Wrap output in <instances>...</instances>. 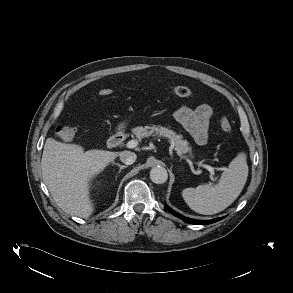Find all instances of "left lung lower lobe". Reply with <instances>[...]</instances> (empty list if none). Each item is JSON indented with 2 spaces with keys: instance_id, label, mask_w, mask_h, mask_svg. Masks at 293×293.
<instances>
[{
  "instance_id": "left-lung-lower-lobe-1",
  "label": "left lung lower lobe",
  "mask_w": 293,
  "mask_h": 293,
  "mask_svg": "<svg viewBox=\"0 0 293 293\" xmlns=\"http://www.w3.org/2000/svg\"><path fill=\"white\" fill-rule=\"evenodd\" d=\"M167 210L172 213L173 215L181 218L182 220H185L187 223H190V224H197V225H205V224H210V223H214V222H217L223 218H217V219H213V220H205V221H202V220H195V219H191V218H186L176 212H174L172 209H170L169 207H166Z\"/></svg>"
}]
</instances>
